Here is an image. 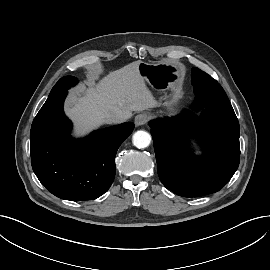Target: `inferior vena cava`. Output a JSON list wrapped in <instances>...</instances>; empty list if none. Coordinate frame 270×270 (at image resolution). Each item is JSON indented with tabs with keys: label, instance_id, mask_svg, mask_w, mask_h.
<instances>
[{
	"label": "inferior vena cava",
	"instance_id": "obj_1",
	"mask_svg": "<svg viewBox=\"0 0 270 270\" xmlns=\"http://www.w3.org/2000/svg\"><path fill=\"white\" fill-rule=\"evenodd\" d=\"M128 119V115L121 112H114L107 115L106 121L112 124H120Z\"/></svg>",
	"mask_w": 270,
	"mask_h": 270
}]
</instances>
